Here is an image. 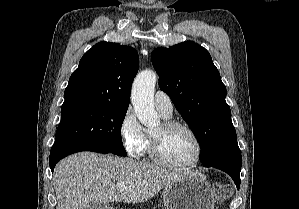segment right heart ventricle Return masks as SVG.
<instances>
[{
	"instance_id": "obj_1",
	"label": "right heart ventricle",
	"mask_w": 299,
	"mask_h": 209,
	"mask_svg": "<svg viewBox=\"0 0 299 209\" xmlns=\"http://www.w3.org/2000/svg\"><path fill=\"white\" fill-rule=\"evenodd\" d=\"M145 151H149V142L147 143V146H146ZM145 151H144V152H145Z\"/></svg>"
}]
</instances>
